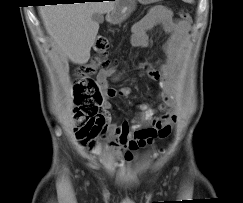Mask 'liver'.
I'll return each instance as SVG.
<instances>
[{
	"label": "liver",
	"mask_w": 243,
	"mask_h": 203,
	"mask_svg": "<svg viewBox=\"0 0 243 203\" xmlns=\"http://www.w3.org/2000/svg\"><path fill=\"white\" fill-rule=\"evenodd\" d=\"M116 2V1H115ZM115 2L44 5L39 8L44 27L56 48L75 64H86L99 30L93 13H108Z\"/></svg>",
	"instance_id": "1"
}]
</instances>
